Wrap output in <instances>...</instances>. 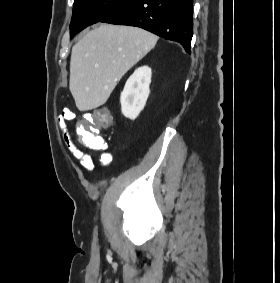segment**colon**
Instances as JSON below:
<instances>
[{"label":"colon","instance_id":"colon-1","mask_svg":"<svg viewBox=\"0 0 280 283\" xmlns=\"http://www.w3.org/2000/svg\"><path fill=\"white\" fill-rule=\"evenodd\" d=\"M65 112L72 111L67 109ZM81 118L93 119L98 127H88L87 123L79 122L76 127L79 141L88 148L94 150L102 149L105 146V140L96 132H105V127H114L111 110H105L104 107H101L100 110H85V114H82Z\"/></svg>","mask_w":280,"mask_h":283}]
</instances>
